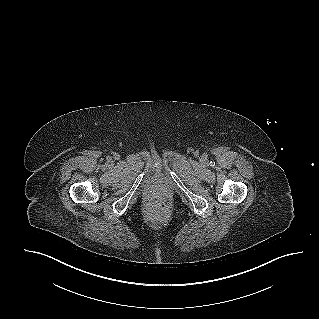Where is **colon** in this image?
Instances as JSON below:
<instances>
[{"label": "colon", "instance_id": "1", "mask_svg": "<svg viewBox=\"0 0 319 319\" xmlns=\"http://www.w3.org/2000/svg\"><path fill=\"white\" fill-rule=\"evenodd\" d=\"M158 208L160 210H164L165 209V205L160 203V204H158Z\"/></svg>", "mask_w": 319, "mask_h": 319}]
</instances>
